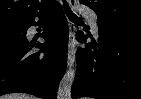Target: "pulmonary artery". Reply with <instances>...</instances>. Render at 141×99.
<instances>
[{
    "instance_id": "e3ab8cb5",
    "label": "pulmonary artery",
    "mask_w": 141,
    "mask_h": 99,
    "mask_svg": "<svg viewBox=\"0 0 141 99\" xmlns=\"http://www.w3.org/2000/svg\"><path fill=\"white\" fill-rule=\"evenodd\" d=\"M83 14L89 19L93 32L98 34L97 15L93 11L87 9L83 10Z\"/></svg>"
}]
</instances>
